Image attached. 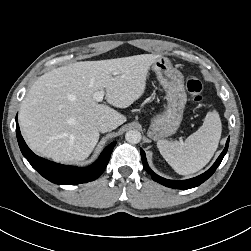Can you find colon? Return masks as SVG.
I'll return each instance as SVG.
<instances>
[{"instance_id":"5ec220e1","label":"colon","mask_w":251,"mask_h":251,"mask_svg":"<svg viewBox=\"0 0 251 251\" xmlns=\"http://www.w3.org/2000/svg\"><path fill=\"white\" fill-rule=\"evenodd\" d=\"M186 88L190 96L195 102H201L202 97V91H203V85L200 82V80L194 76H191L188 78L186 83Z\"/></svg>"}]
</instances>
